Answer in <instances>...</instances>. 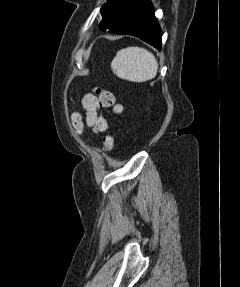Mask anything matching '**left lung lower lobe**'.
<instances>
[{"mask_svg": "<svg viewBox=\"0 0 240 287\" xmlns=\"http://www.w3.org/2000/svg\"><path fill=\"white\" fill-rule=\"evenodd\" d=\"M99 29L136 36L161 49L162 32L149 0H108Z\"/></svg>", "mask_w": 240, "mask_h": 287, "instance_id": "left-lung-lower-lobe-1", "label": "left lung lower lobe"}]
</instances>
